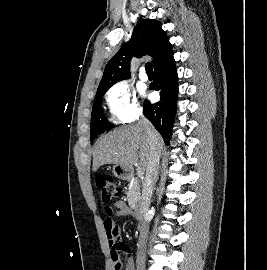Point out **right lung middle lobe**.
<instances>
[{
  "instance_id": "right-lung-middle-lobe-1",
  "label": "right lung middle lobe",
  "mask_w": 267,
  "mask_h": 270,
  "mask_svg": "<svg viewBox=\"0 0 267 270\" xmlns=\"http://www.w3.org/2000/svg\"><path fill=\"white\" fill-rule=\"evenodd\" d=\"M108 90V89H107ZM107 90H103L101 92L96 93L94 104L92 108L91 114V126H90V140L93 141L95 137L108 130L111 129L114 125L110 123L105 117L102 111V98Z\"/></svg>"
}]
</instances>
